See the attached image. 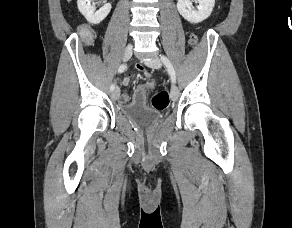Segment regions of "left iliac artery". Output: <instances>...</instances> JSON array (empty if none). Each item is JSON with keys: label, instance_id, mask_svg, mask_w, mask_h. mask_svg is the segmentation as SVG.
Here are the masks:
<instances>
[{"label": "left iliac artery", "instance_id": "44dca946", "mask_svg": "<svg viewBox=\"0 0 292 228\" xmlns=\"http://www.w3.org/2000/svg\"><path fill=\"white\" fill-rule=\"evenodd\" d=\"M160 58H161V61L163 62V64L166 66L167 71L171 77V81L174 84L176 82V73H175V70H174L170 60L164 55H161Z\"/></svg>", "mask_w": 292, "mask_h": 228}]
</instances>
